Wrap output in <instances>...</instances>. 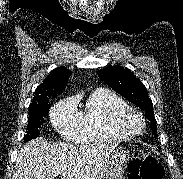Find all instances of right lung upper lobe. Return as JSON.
Returning a JSON list of instances; mask_svg holds the SVG:
<instances>
[{
	"label": "right lung upper lobe",
	"mask_w": 183,
	"mask_h": 179,
	"mask_svg": "<svg viewBox=\"0 0 183 179\" xmlns=\"http://www.w3.org/2000/svg\"><path fill=\"white\" fill-rule=\"evenodd\" d=\"M70 75L71 71L66 69V67H58L54 69L46 77L43 83L37 87L30 106L40 105L45 101H48L50 97H55L57 94L63 92Z\"/></svg>",
	"instance_id": "right-lung-upper-lobe-1"
}]
</instances>
